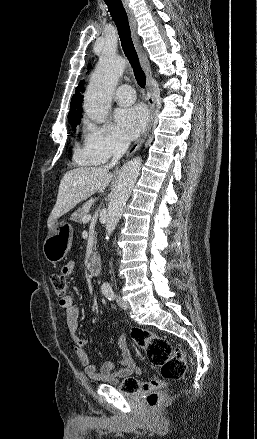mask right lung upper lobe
I'll return each mask as SVG.
<instances>
[{"mask_svg": "<svg viewBox=\"0 0 257 439\" xmlns=\"http://www.w3.org/2000/svg\"><path fill=\"white\" fill-rule=\"evenodd\" d=\"M82 81L79 83V85L76 87V93L73 95L71 100V108L69 113H81L80 109L82 108L81 100L83 98L82 94L84 92ZM82 114V113H81Z\"/></svg>", "mask_w": 257, "mask_h": 439, "instance_id": "1", "label": "right lung upper lobe"}]
</instances>
